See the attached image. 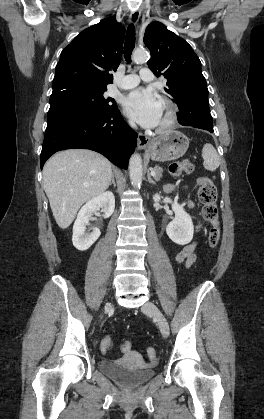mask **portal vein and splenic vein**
I'll return each instance as SVG.
<instances>
[{"mask_svg": "<svg viewBox=\"0 0 264 419\" xmlns=\"http://www.w3.org/2000/svg\"><path fill=\"white\" fill-rule=\"evenodd\" d=\"M151 175L152 176H155L156 175V173H155V171L153 169H151Z\"/></svg>", "mask_w": 264, "mask_h": 419, "instance_id": "obj_1", "label": "portal vein and splenic vein"}]
</instances>
